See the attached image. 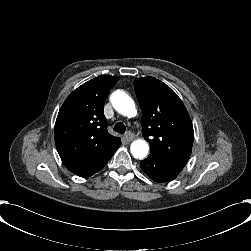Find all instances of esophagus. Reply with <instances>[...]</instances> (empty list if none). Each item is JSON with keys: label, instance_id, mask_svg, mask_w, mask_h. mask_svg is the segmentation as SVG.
<instances>
[{"label": "esophagus", "instance_id": "1", "mask_svg": "<svg viewBox=\"0 0 251 251\" xmlns=\"http://www.w3.org/2000/svg\"><path fill=\"white\" fill-rule=\"evenodd\" d=\"M125 138L128 142H130L134 139V136L132 133L128 132L127 134H125Z\"/></svg>", "mask_w": 251, "mask_h": 251}]
</instances>
